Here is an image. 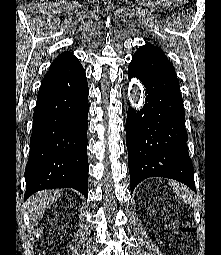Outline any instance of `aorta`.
<instances>
[{
  "label": "aorta",
  "mask_w": 221,
  "mask_h": 255,
  "mask_svg": "<svg viewBox=\"0 0 221 255\" xmlns=\"http://www.w3.org/2000/svg\"><path fill=\"white\" fill-rule=\"evenodd\" d=\"M132 94H133V98L136 99V100H140L142 99V90H141V87L140 86H137L135 87L133 90H132Z\"/></svg>",
  "instance_id": "obj_1"
}]
</instances>
